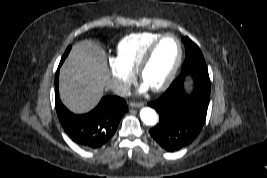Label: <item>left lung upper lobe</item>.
Instances as JSON below:
<instances>
[{"label": "left lung upper lobe", "mask_w": 267, "mask_h": 178, "mask_svg": "<svg viewBox=\"0 0 267 178\" xmlns=\"http://www.w3.org/2000/svg\"><path fill=\"white\" fill-rule=\"evenodd\" d=\"M182 41L186 48V57L180 75L186 73L208 74V69L204 57L198 46L188 37L182 38Z\"/></svg>", "instance_id": "obj_1"}]
</instances>
